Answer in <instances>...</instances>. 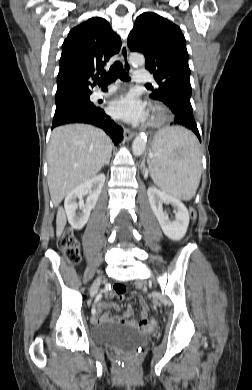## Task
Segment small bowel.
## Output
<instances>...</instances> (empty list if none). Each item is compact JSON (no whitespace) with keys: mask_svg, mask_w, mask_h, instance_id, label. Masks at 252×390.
I'll return each instance as SVG.
<instances>
[{"mask_svg":"<svg viewBox=\"0 0 252 390\" xmlns=\"http://www.w3.org/2000/svg\"><path fill=\"white\" fill-rule=\"evenodd\" d=\"M114 293L115 292L111 290L107 293V296H113ZM118 297L121 300L124 299V295H118ZM139 302L141 305L140 320H137L134 317V312L130 305L127 306L126 311L123 315L111 316L109 313L102 314V311L106 308H111L115 311L118 310V305L116 303L107 304L101 302L97 306L96 315L92 316V321L93 322H100V321L117 322V323L128 324L130 327L137 330H148L151 327L153 320H151L148 316L149 309L145 300L140 297Z\"/></svg>","mask_w":252,"mask_h":390,"instance_id":"c3829d8e","label":"small bowel"}]
</instances>
